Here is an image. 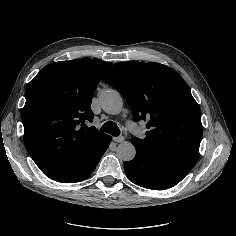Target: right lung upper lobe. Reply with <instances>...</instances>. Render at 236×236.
<instances>
[{
    "mask_svg": "<svg viewBox=\"0 0 236 236\" xmlns=\"http://www.w3.org/2000/svg\"><path fill=\"white\" fill-rule=\"evenodd\" d=\"M111 64L92 59L54 62L28 84L22 110L24 143L49 178L59 176L81 152L107 136L85 123L94 118L92 96Z\"/></svg>",
    "mask_w": 236,
    "mask_h": 236,
    "instance_id": "right-lung-upper-lobe-1",
    "label": "right lung upper lobe"
}]
</instances>
